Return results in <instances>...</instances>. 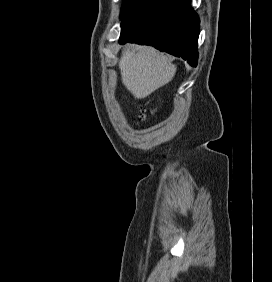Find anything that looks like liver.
I'll use <instances>...</instances> for the list:
<instances>
[{
  "instance_id": "1",
  "label": "liver",
  "mask_w": 272,
  "mask_h": 282,
  "mask_svg": "<svg viewBox=\"0 0 272 282\" xmlns=\"http://www.w3.org/2000/svg\"><path fill=\"white\" fill-rule=\"evenodd\" d=\"M122 83L133 96L143 99L167 84L175 66L152 47L127 46L119 61Z\"/></svg>"
}]
</instances>
